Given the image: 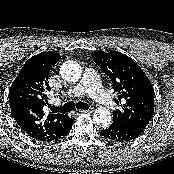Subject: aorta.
I'll list each match as a JSON object with an SVG mask.
<instances>
[{"label": "aorta", "instance_id": "1", "mask_svg": "<svg viewBox=\"0 0 174 174\" xmlns=\"http://www.w3.org/2000/svg\"><path fill=\"white\" fill-rule=\"evenodd\" d=\"M60 74L66 81L77 82L81 78L82 68L77 62L69 60L61 65ZM93 120L98 126L106 128L111 124V113L108 109L98 108L94 112Z\"/></svg>", "mask_w": 174, "mask_h": 174}]
</instances>
